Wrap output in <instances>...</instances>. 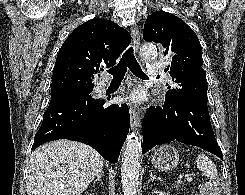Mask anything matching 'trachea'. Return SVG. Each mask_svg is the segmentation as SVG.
Listing matches in <instances>:
<instances>
[{
    "mask_svg": "<svg viewBox=\"0 0 245 195\" xmlns=\"http://www.w3.org/2000/svg\"><path fill=\"white\" fill-rule=\"evenodd\" d=\"M127 68H129V70L138 78H148V76L144 74L139 63L137 62L132 47L128 48L123 54L119 63L113 68L107 70V72L110 75H113V81H122L127 72Z\"/></svg>",
    "mask_w": 245,
    "mask_h": 195,
    "instance_id": "obj_1",
    "label": "trachea"
}]
</instances>
